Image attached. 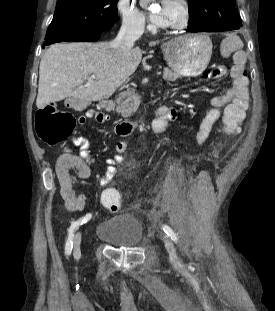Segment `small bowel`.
I'll list each match as a JSON object with an SVG mask.
<instances>
[{"label":"small bowel","instance_id":"c3829d8e","mask_svg":"<svg viewBox=\"0 0 275 311\" xmlns=\"http://www.w3.org/2000/svg\"><path fill=\"white\" fill-rule=\"evenodd\" d=\"M222 57H233L234 65L230 71L231 86L222 94L211 99V109L207 112L202 123H198L196 139L198 143L203 142L213 130L214 124L220 118H240V124L245 119L246 110L249 106L248 78L246 75V54L241 48L242 41L236 36L227 37L223 41ZM75 109L83 108L81 103H70ZM164 110H155L152 130L156 134L163 133L168 124L174 121L178 115L175 108L162 106ZM84 120L80 125L86 123L87 118L98 122L108 120V115L94 109L86 111ZM227 133H237L239 130H225ZM73 144L79 148V155L75 150H63L62 155H57L58 169L54 174L60 180L61 193L66 199L65 205L69 212L80 211L84 207V198L77 193L70 180H85L89 177L86 164L91 162L89 153L90 141L87 137L77 136L73 138ZM129 142L120 141L116 145L117 154L106 160L107 168L105 174L99 178L101 186H107L116 174V165L124 162L122 154L127 149ZM82 159V160H81ZM69 171H73L70 173Z\"/></svg>","mask_w":275,"mask_h":311}]
</instances>
